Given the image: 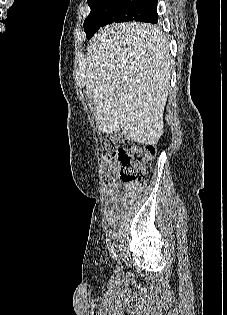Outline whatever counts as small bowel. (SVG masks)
<instances>
[{
	"label": "small bowel",
	"instance_id": "small-bowel-1",
	"mask_svg": "<svg viewBox=\"0 0 227 315\" xmlns=\"http://www.w3.org/2000/svg\"><path fill=\"white\" fill-rule=\"evenodd\" d=\"M139 190L127 186L123 191L118 183H114L108 188L109 201L112 205L108 210V222L114 223L120 211L129 207V205L136 199ZM117 210V211H115Z\"/></svg>",
	"mask_w": 227,
	"mask_h": 315
}]
</instances>
